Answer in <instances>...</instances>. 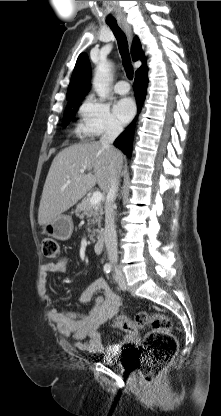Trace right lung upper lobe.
<instances>
[{
  "mask_svg": "<svg viewBox=\"0 0 221 416\" xmlns=\"http://www.w3.org/2000/svg\"><path fill=\"white\" fill-rule=\"evenodd\" d=\"M131 54L133 60H137L138 58L142 61V66L136 71L139 73L141 71L147 70L145 66V58L142 53L141 44L136 37L133 41L131 47ZM89 81H90V64L85 53H81L77 59L71 81L67 91V100L69 102H74L77 100L83 99L85 94L89 90Z\"/></svg>",
  "mask_w": 221,
  "mask_h": 416,
  "instance_id": "obj_1",
  "label": "right lung upper lobe"
}]
</instances>
